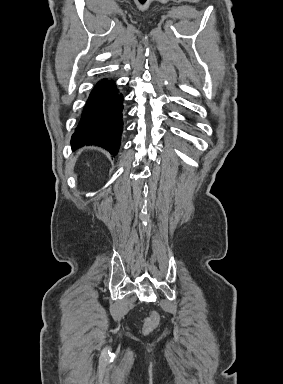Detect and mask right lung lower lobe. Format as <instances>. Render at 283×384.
<instances>
[{"instance_id":"1","label":"right lung lower lobe","mask_w":283,"mask_h":384,"mask_svg":"<svg viewBox=\"0 0 283 384\" xmlns=\"http://www.w3.org/2000/svg\"><path fill=\"white\" fill-rule=\"evenodd\" d=\"M117 92L113 80L104 78L95 85L72 136L73 149L96 145L117 154L123 129V96Z\"/></svg>"}]
</instances>
